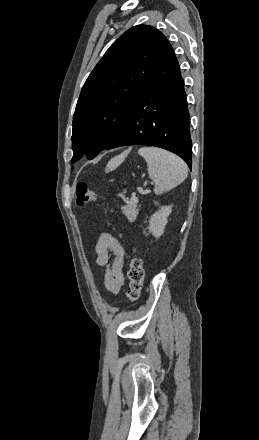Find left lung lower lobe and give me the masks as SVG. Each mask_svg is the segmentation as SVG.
Instances as JSON below:
<instances>
[{"mask_svg": "<svg viewBox=\"0 0 259 440\" xmlns=\"http://www.w3.org/2000/svg\"><path fill=\"white\" fill-rule=\"evenodd\" d=\"M149 145L180 156L191 169L190 116L184 80L167 41L145 89L114 141L105 149Z\"/></svg>", "mask_w": 259, "mask_h": 440, "instance_id": "1", "label": "left lung lower lobe"}]
</instances>
